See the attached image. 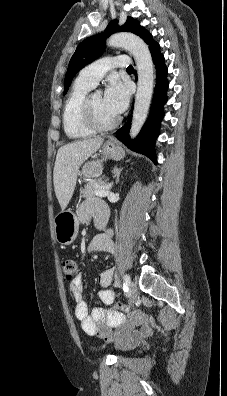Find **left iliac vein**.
<instances>
[{
    "mask_svg": "<svg viewBox=\"0 0 227 396\" xmlns=\"http://www.w3.org/2000/svg\"><path fill=\"white\" fill-rule=\"evenodd\" d=\"M129 294H130V302L134 303L138 295L137 285L134 281H131L129 284Z\"/></svg>",
    "mask_w": 227,
    "mask_h": 396,
    "instance_id": "obj_1",
    "label": "left iliac vein"
}]
</instances>
